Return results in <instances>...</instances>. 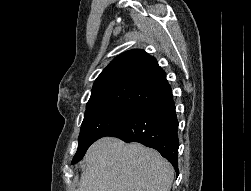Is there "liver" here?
<instances>
[{
  "instance_id": "obj_1",
  "label": "liver",
  "mask_w": 251,
  "mask_h": 191,
  "mask_svg": "<svg viewBox=\"0 0 251 191\" xmlns=\"http://www.w3.org/2000/svg\"><path fill=\"white\" fill-rule=\"evenodd\" d=\"M77 191H170L174 169L156 149L118 137L94 141L80 161Z\"/></svg>"
}]
</instances>
